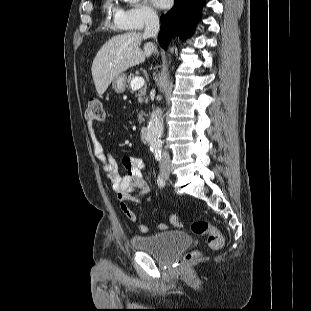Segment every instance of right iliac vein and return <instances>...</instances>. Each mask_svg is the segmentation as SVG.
Returning a JSON list of instances; mask_svg holds the SVG:
<instances>
[{"instance_id":"right-iliac-vein-1","label":"right iliac vein","mask_w":311,"mask_h":311,"mask_svg":"<svg viewBox=\"0 0 311 311\" xmlns=\"http://www.w3.org/2000/svg\"><path fill=\"white\" fill-rule=\"evenodd\" d=\"M170 168L169 167H165L161 169V172L164 176H168L170 174Z\"/></svg>"}]
</instances>
